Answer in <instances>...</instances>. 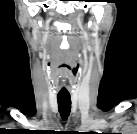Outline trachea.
<instances>
[{"label": "trachea", "instance_id": "trachea-1", "mask_svg": "<svg viewBox=\"0 0 137 134\" xmlns=\"http://www.w3.org/2000/svg\"><path fill=\"white\" fill-rule=\"evenodd\" d=\"M58 108L63 120H67L71 111V98L69 95H58Z\"/></svg>", "mask_w": 137, "mask_h": 134}]
</instances>
